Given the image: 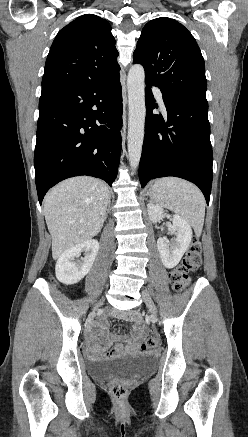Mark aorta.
Instances as JSON below:
<instances>
[{
    "instance_id": "762f6f07",
    "label": "aorta",
    "mask_w": 248,
    "mask_h": 437,
    "mask_svg": "<svg viewBox=\"0 0 248 437\" xmlns=\"http://www.w3.org/2000/svg\"><path fill=\"white\" fill-rule=\"evenodd\" d=\"M145 72L139 65H133L128 73V154L129 162L133 169L139 165L145 129V92H144Z\"/></svg>"
}]
</instances>
